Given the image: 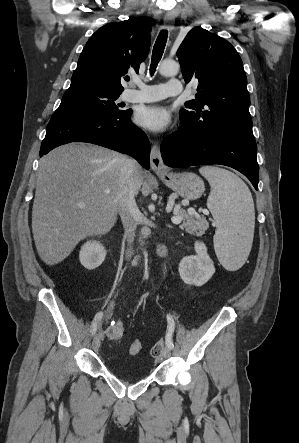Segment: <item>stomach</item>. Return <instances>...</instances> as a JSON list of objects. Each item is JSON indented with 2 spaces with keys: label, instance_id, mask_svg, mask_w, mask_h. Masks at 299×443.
Here are the masks:
<instances>
[{
  "label": "stomach",
  "instance_id": "stomach-1",
  "mask_svg": "<svg viewBox=\"0 0 299 443\" xmlns=\"http://www.w3.org/2000/svg\"><path fill=\"white\" fill-rule=\"evenodd\" d=\"M158 176L166 186L187 200H196L205 191L203 180L191 172H166L158 173Z\"/></svg>",
  "mask_w": 299,
  "mask_h": 443
}]
</instances>
